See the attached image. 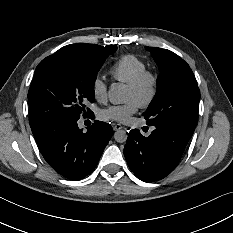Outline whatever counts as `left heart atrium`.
<instances>
[{
  "label": "left heart atrium",
  "instance_id": "left-heart-atrium-1",
  "mask_svg": "<svg viewBox=\"0 0 233 233\" xmlns=\"http://www.w3.org/2000/svg\"><path fill=\"white\" fill-rule=\"evenodd\" d=\"M141 103L135 99H130L127 103L119 106H113L100 111L102 119H110L118 122H127L129 118L137 112Z\"/></svg>",
  "mask_w": 233,
  "mask_h": 233
}]
</instances>
